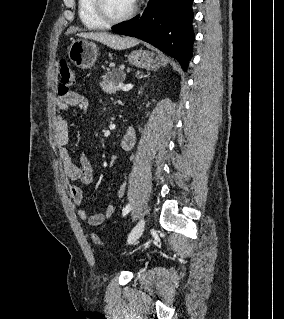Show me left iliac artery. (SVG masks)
Listing matches in <instances>:
<instances>
[{"instance_id": "44dca946", "label": "left iliac artery", "mask_w": 284, "mask_h": 319, "mask_svg": "<svg viewBox=\"0 0 284 319\" xmlns=\"http://www.w3.org/2000/svg\"><path fill=\"white\" fill-rule=\"evenodd\" d=\"M130 210H131V205L130 204L126 205L122 210V215L123 216L127 215Z\"/></svg>"}]
</instances>
